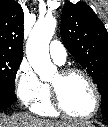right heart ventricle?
Here are the masks:
<instances>
[{"instance_id":"obj_1","label":"right heart ventricle","mask_w":108,"mask_h":127,"mask_svg":"<svg viewBox=\"0 0 108 127\" xmlns=\"http://www.w3.org/2000/svg\"><path fill=\"white\" fill-rule=\"evenodd\" d=\"M32 110L41 116L54 117L59 115V112L56 111L52 104L50 86L48 84H44L43 94L40 99L32 105Z\"/></svg>"}]
</instances>
